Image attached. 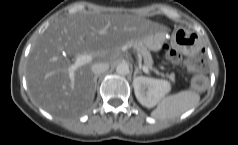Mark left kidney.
Wrapping results in <instances>:
<instances>
[{"mask_svg": "<svg viewBox=\"0 0 238 145\" xmlns=\"http://www.w3.org/2000/svg\"><path fill=\"white\" fill-rule=\"evenodd\" d=\"M133 87L137 100L147 108L154 107L171 90L169 82L145 76L134 78Z\"/></svg>", "mask_w": 238, "mask_h": 145, "instance_id": "obj_1", "label": "left kidney"}]
</instances>
